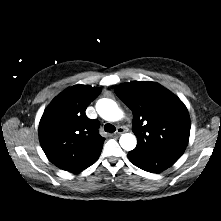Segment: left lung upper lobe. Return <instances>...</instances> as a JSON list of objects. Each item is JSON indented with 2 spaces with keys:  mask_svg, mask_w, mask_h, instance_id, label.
I'll use <instances>...</instances> for the list:
<instances>
[{
  "mask_svg": "<svg viewBox=\"0 0 221 221\" xmlns=\"http://www.w3.org/2000/svg\"><path fill=\"white\" fill-rule=\"evenodd\" d=\"M133 113L136 150L182 155L190 135V117L183 102L158 83L134 81L115 89Z\"/></svg>",
  "mask_w": 221,
  "mask_h": 221,
  "instance_id": "1",
  "label": "left lung upper lobe"
}]
</instances>
